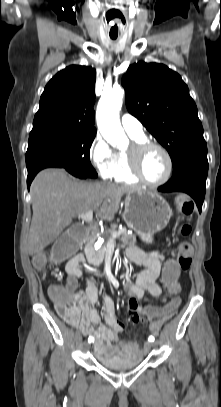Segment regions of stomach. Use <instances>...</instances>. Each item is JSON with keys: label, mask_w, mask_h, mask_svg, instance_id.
<instances>
[{"label": "stomach", "mask_w": 221, "mask_h": 407, "mask_svg": "<svg viewBox=\"0 0 221 407\" xmlns=\"http://www.w3.org/2000/svg\"><path fill=\"white\" fill-rule=\"evenodd\" d=\"M171 216L168 202L156 192L139 190L126 195L124 221L147 243L167 226Z\"/></svg>", "instance_id": "obj_1"}]
</instances>
